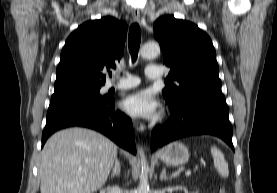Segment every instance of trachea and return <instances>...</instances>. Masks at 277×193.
Returning a JSON list of instances; mask_svg holds the SVG:
<instances>
[{"instance_id": "obj_1", "label": "trachea", "mask_w": 277, "mask_h": 193, "mask_svg": "<svg viewBox=\"0 0 277 193\" xmlns=\"http://www.w3.org/2000/svg\"><path fill=\"white\" fill-rule=\"evenodd\" d=\"M141 42V31L137 23H134L129 28L128 44L129 52L132 56V61L135 62L138 56V51Z\"/></svg>"}]
</instances>
